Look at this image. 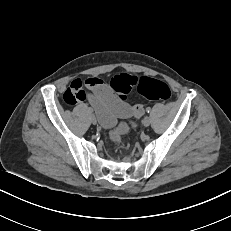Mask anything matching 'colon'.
Listing matches in <instances>:
<instances>
[{"instance_id":"1","label":"colon","mask_w":231,"mask_h":231,"mask_svg":"<svg viewBox=\"0 0 231 231\" xmlns=\"http://www.w3.org/2000/svg\"><path fill=\"white\" fill-rule=\"evenodd\" d=\"M110 86L122 98H125L132 89H136L142 97L148 100L167 101L171 97V90L165 82L149 77L122 73L111 79ZM136 117H139V114ZM127 129L126 125L118 126L111 132V138L119 142Z\"/></svg>"}]
</instances>
